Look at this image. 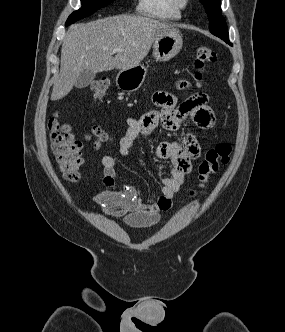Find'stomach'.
I'll list each match as a JSON object with an SVG mask.
<instances>
[{
    "instance_id": "1",
    "label": "stomach",
    "mask_w": 285,
    "mask_h": 332,
    "mask_svg": "<svg viewBox=\"0 0 285 332\" xmlns=\"http://www.w3.org/2000/svg\"><path fill=\"white\" fill-rule=\"evenodd\" d=\"M183 45L182 36L176 29H171L159 36L153 45V56L156 61H168L175 57ZM144 65H137L127 70H121L116 77V85L127 92L138 90L146 77Z\"/></svg>"
}]
</instances>
